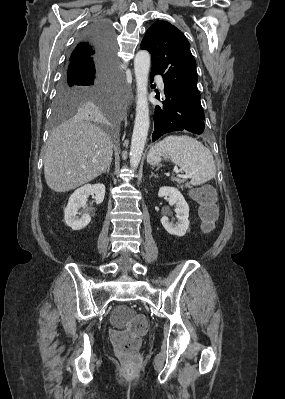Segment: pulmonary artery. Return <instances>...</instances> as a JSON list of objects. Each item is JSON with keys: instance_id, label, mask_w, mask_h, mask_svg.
Listing matches in <instances>:
<instances>
[{"instance_id": "e3ab8cb5", "label": "pulmonary artery", "mask_w": 285, "mask_h": 399, "mask_svg": "<svg viewBox=\"0 0 285 399\" xmlns=\"http://www.w3.org/2000/svg\"><path fill=\"white\" fill-rule=\"evenodd\" d=\"M156 80L158 82V85H159L160 89L163 90L164 89V83L162 81V78L161 77H157Z\"/></svg>"}]
</instances>
